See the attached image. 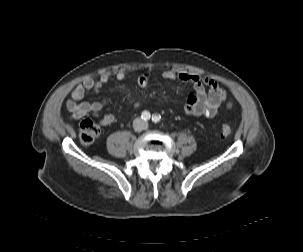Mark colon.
<instances>
[{
    "label": "colon",
    "mask_w": 303,
    "mask_h": 252,
    "mask_svg": "<svg viewBox=\"0 0 303 252\" xmlns=\"http://www.w3.org/2000/svg\"><path fill=\"white\" fill-rule=\"evenodd\" d=\"M220 132L223 137H228L232 134L233 129L228 124H223L220 128ZM79 135L83 144L91 145L99 137L100 128L92 120L86 119L80 124Z\"/></svg>",
    "instance_id": "5ec220e1"
}]
</instances>
